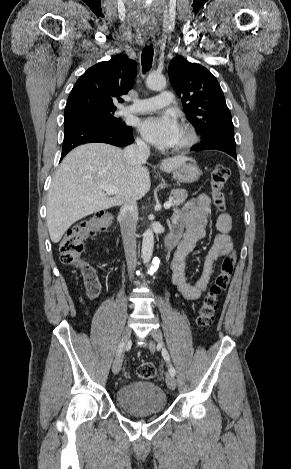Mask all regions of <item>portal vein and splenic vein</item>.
Returning <instances> with one entry per match:
<instances>
[{
  "mask_svg": "<svg viewBox=\"0 0 291 469\" xmlns=\"http://www.w3.org/2000/svg\"><path fill=\"white\" fill-rule=\"evenodd\" d=\"M100 188L106 192L107 195H114L118 193V188L109 185H100ZM172 206V202L168 201L164 204L165 209H169Z\"/></svg>",
  "mask_w": 291,
  "mask_h": 469,
  "instance_id": "1",
  "label": "portal vein and splenic vein"
}]
</instances>
